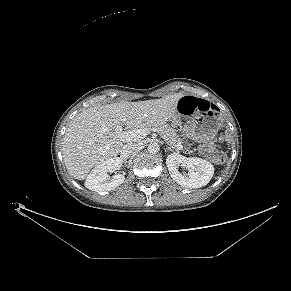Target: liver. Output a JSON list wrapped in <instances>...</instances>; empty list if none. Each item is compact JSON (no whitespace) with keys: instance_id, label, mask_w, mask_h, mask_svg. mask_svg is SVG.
<instances>
[{"instance_id":"1","label":"liver","mask_w":291,"mask_h":291,"mask_svg":"<svg viewBox=\"0 0 291 291\" xmlns=\"http://www.w3.org/2000/svg\"><path fill=\"white\" fill-rule=\"evenodd\" d=\"M182 96L176 93L160 99L121 101L90 107L76 115L62 144L63 160L70 176L84 180L93 167L120 153L123 141L116 133L118 126L125 124L139 129L170 121Z\"/></svg>"}]
</instances>
